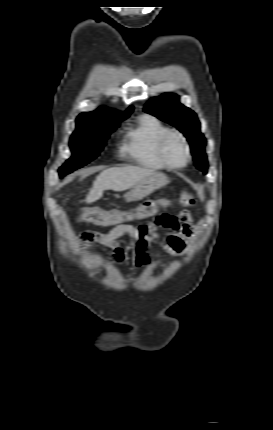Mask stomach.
Wrapping results in <instances>:
<instances>
[{"label":"stomach","instance_id":"0dacf381","mask_svg":"<svg viewBox=\"0 0 273 430\" xmlns=\"http://www.w3.org/2000/svg\"><path fill=\"white\" fill-rule=\"evenodd\" d=\"M167 182L168 180L165 174L154 171L139 181L133 189L125 195V199L127 201L141 200L155 190L166 185Z\"/></svg>","mask_w":273,"mask_h":430}]
</instances>
